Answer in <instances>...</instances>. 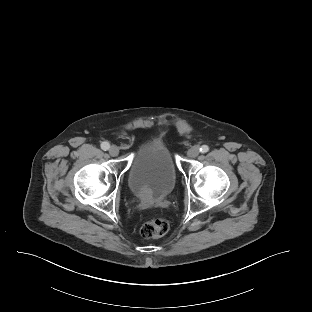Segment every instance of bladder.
<instances>
[{
	"mask_svg": "<svg viewBox=\"0 0 312 312\" xmlns=\"http://www.w3.org/2000/svg\"><path fill=\"white\" fill-rule=\"evenodd\" d=\"M177 179L173 155L162 138L149 139L136 152L127 175L129 189L144 201H156L168 195Z\"/></svg>",
	"mask_w": 312,
	"mask_h": 312,
	"instance_id": "obj_1",
	"label": "bladder"
}]
</instances>
